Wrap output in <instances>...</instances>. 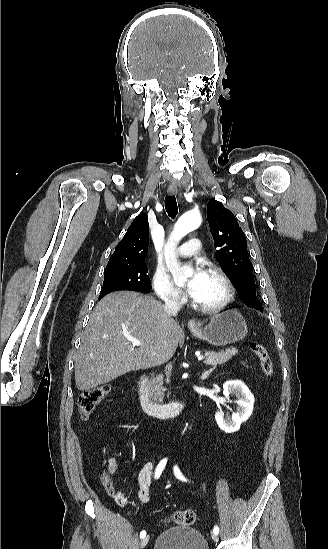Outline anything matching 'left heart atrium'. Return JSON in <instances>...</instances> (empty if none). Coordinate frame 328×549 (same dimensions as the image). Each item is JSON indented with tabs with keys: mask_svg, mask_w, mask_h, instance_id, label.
<instances>
[{
	"mask_svg": "<svg viewBox=\"0 0 328 549\" xmlns=\"http://www.w3.org/2000/svg\"><path fill=\"white\" fill-rule=\"evenodd\" d=\"M204 271L200 269L191 270L184 286V291L191 299H196L204 281Z\"/></svg>",
	"mask_w": 328,
	"mask_h": 549,
	"instance_id": "1",
	"label": "left heart atrium"
}]
</instances>
